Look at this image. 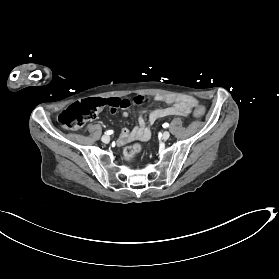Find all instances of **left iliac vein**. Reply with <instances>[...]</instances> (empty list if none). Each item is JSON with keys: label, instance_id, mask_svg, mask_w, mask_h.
I'll list each match as a JSON object with an SVG mask.
<instances>
[{"label": "left iliac vein", "instance_id": "4c4485c4", "mask_svg": "<svg viewBox=\"0 0 279 279\" xmlns=\"http://www.w3.org/2000/svg\"><path fill=\"white\" fill-rule=\"evenodd\" d=\"M162 137L164 140H167L170 137V133L168 131L163 132Z\"/></svg>", "mask_w": 279, "mask_h": 279}]
</instances>
